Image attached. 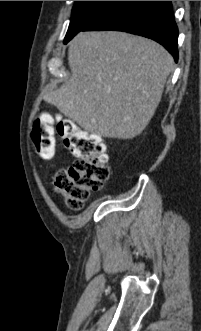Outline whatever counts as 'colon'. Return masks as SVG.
I'll list each match as a JSON object with an SVG mask.
<instances>
[{
    "instance_id": "5ec220e1",
    "label": "colon",
    "mask_w": 201,
    "mask_h": 331,
    "mask_svg": "<svg viewBox=\"0 0 201 331\" xmlns=\"http://www.w3.org/2000/svg\"><path fill=\"white\" fill-rule=\"evenodd\" d=\"M56 128L75 161L56 174L55 187L70 209L80 210L90 194L100 190L109 178L105 145L99 136L81 130L70 120H59ZM32 138L39 156L51 159L55 151V137L50 115L42 114L37 118Z\"/></svg>"
}]
</instances>
